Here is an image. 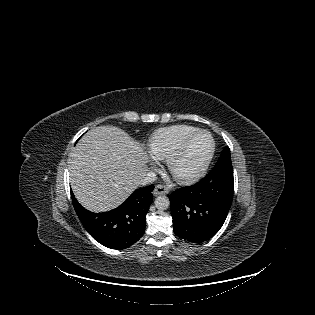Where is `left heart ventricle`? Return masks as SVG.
I'll return each mask as SVG.
<instances>
[{
  "label": "left heart ventricle",
  "mask_w": 315,
  "mask_h": 315,
  "mask_svg": "<svg viewBox=\"0 0 315 315\" xmlns=\"http://www.w3.org/2000/svg\"><path fill=\"white\" fill-rule=\"evenodd\" d=\"M210 149V140L207 135L196 136L188 145L183 156L176 163V170L179 173H188L197 169Z\"/></svg>",
  "instance_id": "b2bd125f"
}]
</instances>
